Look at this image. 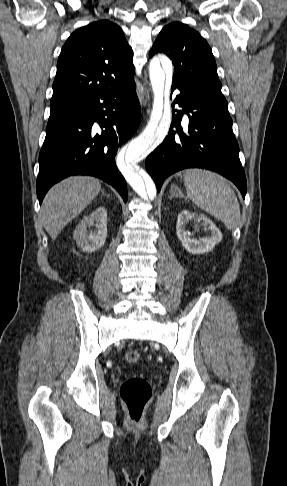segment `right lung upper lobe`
I'll return each mask as SVG.
<instances>
[{"label": "right lung upper lobe", "mask_w": 287, "mask_h": 486, "mask_svg": "<svg viewBox=\"0 0 287 486\" xmlns=\"http://www.w3.org/2000/svg\"><path fill=\"white\" fill-rule=\"evenodd\" d=\"M132 57L122 29L109 20L74 31L58 58L51 112L69 109L97 93L134 81Z\"/></svg>", "instance_id": "cb5924a9"}]
</instances>
